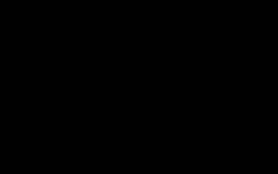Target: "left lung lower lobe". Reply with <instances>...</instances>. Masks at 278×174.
<instances>
[{
  "label": "left lung lower lobe",
  "mask_w": 278,
  "mask_h": 174,
  "mask_svg": "<svg viewBox=\"0 0 278 174\" xmlns=\"http://www.w3.org/2000/svg\"><path fill=\"white\" fill-rule=\"evenodd\" d=\"M215 78L198 76L175 83L152 97V131L170 147H183L201 133L213 107Z\"/></svg>",
  "instance_id": "obj_1"
}]
</instances>
